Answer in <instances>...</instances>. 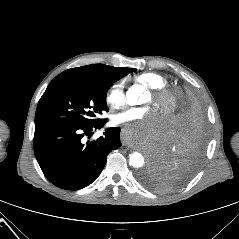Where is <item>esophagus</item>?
<instances>
[{
	"instance_id": "obj_1",
	"label": "esophagus",
	"mask_w": 239,
	"mask_h": 239,
	"mask_svg": "<svg viewBox=\"0 0 239 239\" xmlns=\"http://www.w3.org/2000/svg\"><path fill=\"white\" fill-rule=\"evenodd\" d=\"M120 134H121V136H119V138H118L119 141H121V142L123 141V144L128 146L127 142L124 141V139H125L124 136H126V134H127L126 131L124 129H122ZM128 148H130V147L128 146Z\"/></svg>"
}]
</instances>
